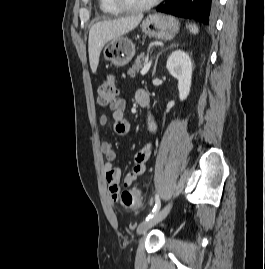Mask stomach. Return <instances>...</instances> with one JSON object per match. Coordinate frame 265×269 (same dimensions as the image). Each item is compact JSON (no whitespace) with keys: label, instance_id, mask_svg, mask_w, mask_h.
Here are the masks:
<instances>
[{"label":"stomach","instance_id":"obj_1","mask_svg":"<svg viewBox=\"0 0 265 269\" xmlns=\"http://www.w3.org/2000/svg\"><path fill=\"white\" fill-rule=\"evenodd\" d=\"M142 30L150 37L171 40L178 33L177 21L168 15H149L142 22ZM104 58L116 66H124L131 61L135 54L134 44L126 37L111 40L103 50Z\"/></svg>","mask_w":265,"mask_h":269}]
</instances>
